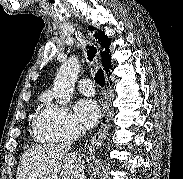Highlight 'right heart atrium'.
I'll return each instance as SVG.
<instances>
[{"label": "right heart atrium", "mask_w": 183, "mask_h": 179, "mask_svg": "<svg viewBox=\"0 0 183 179\" xmlns=\"http://www.w3.org/2000/svg\"><path fill=\"white\" fill-rule=\"evenodd\" d=\"M35 130L46 139L59 141L78 132L80 127L66 108L49 104L36 122Z\"/></svg>", "instance_id": "d8ad5b80"}]
</instances>
